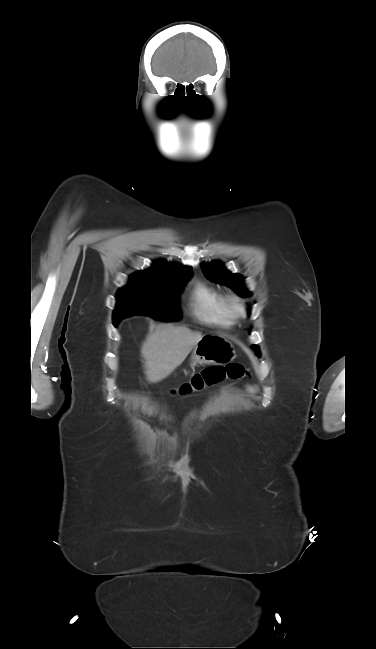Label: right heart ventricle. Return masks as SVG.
<instances>
[{
  "label": "right heart ventricle",
  "mask_w": 376,
  "mask_h": 649,
  "mask_svg": "<svg viewBox=\"0 0 376 649\" xmlns=\"http://www.w3.org/2000/svg\"><path fill=\"white\" fill-rule=\"evenodd\" d=\"M189 308L198 320L207 324L229 327L236 320V316L228 307L226 297L205 282H197L193 286Z\"/></svg>",
  "instance_id": "1"
}]
</instances>
